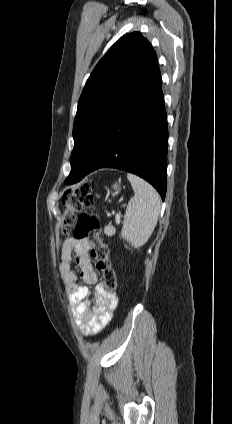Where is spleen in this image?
Returning a JSON list of instances; mask_svg holds the SVG:
<instances>
[{"label": "spleen", "mask_w": 232, "mask_h": 424, "mask_svg": "<svg viewBox=\"0 0 232 424\" xmlns=\"http://www.w3.org/2000/svg\"><path fill=\"white\" fill-rule=\"evenodd\" d=\"M134 196L130 199L125 215L121 237L132 247L139 248L151 237L157 224L161 200L158 192L137 175L128 173Z\"/></svg>", "instance_id": "spleen-1"}]
</instances>
